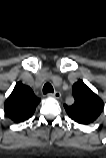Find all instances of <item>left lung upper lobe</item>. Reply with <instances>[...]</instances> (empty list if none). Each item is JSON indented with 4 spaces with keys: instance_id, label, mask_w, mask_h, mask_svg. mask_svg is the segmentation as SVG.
<instances>
[{
    "instance_id": "obj_1",
    "label": "left lung upper lobe",
    "mask_w": 106,
    "mask_h": 158,
    "mask_svg": "<svg viewBox=\"0 0 106 158\" xmlns=\"http://www.w3.org/2000/svg\"><path fill=\"white\" fill-rule=\"evenodd\" d=\"M75 102L64 105L68 116L83 125L94 122L103 112L104 103L82 80H78L72 87Z\"/></svg>"
}]
</instances>
